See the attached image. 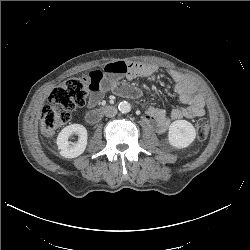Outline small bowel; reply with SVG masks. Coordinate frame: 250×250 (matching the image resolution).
<instances>
[{"instance_id": "c3829d8e", "label": "small bowel", "mask_w": 250, "mask_h": 250, "mask_svg": "<svg viewBox=\"0 0 250 250\" xmlns=\"http://www.w3.org/2000/svg\"><path fill=\"white\" fill-rule=\"evenodd\" d=\"M157 67L151 64L118 61L106 64L88 74L90 79L89 106L93 107L101 101L105 92L113 91L120 95L137 96L139 91L130 89L122 81L123 78H154ZM174 91L185 107L174 108L169 112L156 107H147L145 119L156 132H165L170 123L183 118H196L204 115V100L195 86L180 73L171 71Z\"/></svg>"}]
</instances>
